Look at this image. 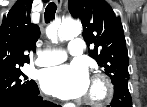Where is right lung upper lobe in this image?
Here are the masks:
<instances>
[{"label": "right lung upper lobe", "instance_id": "cb5924a9", "mask_svg": "<svg viewBox=\"0 0 147 107\" xmlns=\"http://www.w3.org/2000/svg\"><path fill=\"white\" fill-rule=\"evenodd\" d=\"M47 2V0H44ZM33 0H17L0 26V71L29 63L40 29L30 21Z\"/></svg>", "mask_w": 147, "mask_h": 107}]
</instances>
